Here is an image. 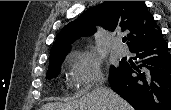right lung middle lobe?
Masks as SVG:
<instances>
[{
    "label": "right lung middle lobe",
    "mask_w": 171,
    "mask_h": 110,
    "mask_svg": "<svg viewBox=\"0 0 171 110\" xmlns=\"http://www.w3.org/2000/svg\"><path fill=\"white\" fill-rule=\"evenodd\" d=\"M65 56L66 55H62V56H58V57H55V58L49 60V68H48V72L46 75L47 79H51V78L57 76V74L60 71V66L65 59ZM113 69H114V67H111V70H113Z\"/></svg>",
    "instance_id": "right-lung-middle-lobe-1"
}]
</instances>
